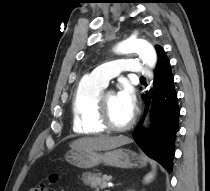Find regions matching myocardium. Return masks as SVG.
<instances>
[{"instance_id": "f54148a6", "label": "myocardium", "mask_w": 210, "mask_h": 191, "mask_svg": "<svg viewBox=\"0 0 210 191\" xmlns=\"http://www.w3.org/2000/svg\"><path fill=\"white\" fill-rule=\"evenodd\" d=\"M106 95H100L97 101V120L101 127L110 132H123L129 130L135 123V114H132L129 122L123 126L114 125L109 117L106 101Z\"/></svg>"}]
</instances>
